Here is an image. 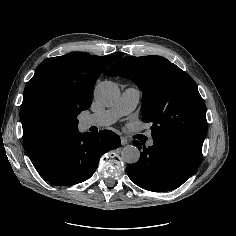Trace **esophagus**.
I'll list each match as a JSON object with an SVG mask.
<instances>
[{
	"label": "esophagus",
	"instance_id": "obj_1",
	"mask_svg": "<svg viewBox=\"0 0 236 236\" xmlns=\"http://www.w3.org/2000/svg\"><path fill=\"white\" fill-rule=\"evenodd\" d=\"M128 143V140L125 137H121V144L126 145Z\"/></svg>",
	"mask_w": 236,
	"mask_h": 236
}]
</instances>
